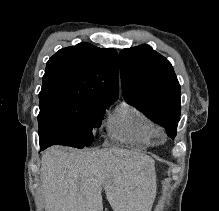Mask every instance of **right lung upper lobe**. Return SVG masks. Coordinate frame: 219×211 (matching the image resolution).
Segmentation results:
<instances>
[{"mask_svg":"<svg viewBox=\"0 0 219 211\" xmlns=\"http://www.w3.org/2000/svg\"><path fill=\"white\" fill-rule=\"evenodd\" d=\"M118 54L83 42L60 49L47 62L39 96L63 95L97 103L118 97Z\"/></svg>","mask_w":219,"mask_h":211,"instance_id":"obj_1","label":"right lung upper lobe"}]
</instances>
